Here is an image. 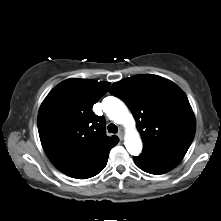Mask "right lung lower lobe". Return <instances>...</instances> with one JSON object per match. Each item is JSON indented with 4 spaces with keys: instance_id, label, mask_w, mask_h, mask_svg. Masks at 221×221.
I'll return each instance as SVG.
<instances>
[{
    "instance_id": "98d812e1",
    "label": "right lung lower lobe",
    "mask_w": 221,
    "mask_h": 221,
    "mask_svg": "<svg viewBox=\"0 0 221 221\" xmlns=\"http://www.w3.org/2000/svg\"><path fill=\"white\" fill-rule=\"evenodd\" d=\"M108 155L109 153L89 167L73 171L71 173H68L67 175L77 179H86L93 177L104 169L107 164Z\"/></svg>"
}]
</instances>
